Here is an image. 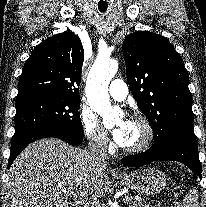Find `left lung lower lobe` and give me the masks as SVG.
Wrapping results in <instances>:
<instances>
[{
    "mask_svg": "<svg viewBox=\"0 0 206 207\" xmlns=\"http://www.w3.org/2000/svg\"><path fill=\"white\" fill-rule=\"evenodd\" d=\"M159 160L182 162L201 178L198 145L196 138L192 137L177 138L158 149H149L140 154L127 156L122 159V163L129 167H139Z\"/></svg>",
    "mask_w": 206,
    "mask_h": 207,
    "instance_id": "1",
    "label": "left lung lower lobe"
}]
</instances>
